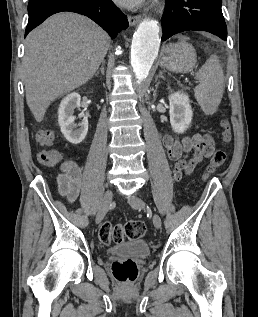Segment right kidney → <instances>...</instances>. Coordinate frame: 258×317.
Listing matches in <instances>:
<instances>
[{
    "mask_svg": "<svg viewBox=\"0 0 258 317\" xmlns=\"http://www.w3.org/2000/svg\"><path fill=\"white\" fill-rule=\"evenodd\" d=\"M80 100L81 96L79 92H71V94L64 96L58 108V122L61 132H63L65 138H67L69 142H72V144L82 142L88 130V118L86 114H80V116H83L79 124L80 128H77L74 122L76 118V116H74V108L80 106Z\"/></svg>",
    "mask_w": 258,
    "mask_h": 317,
    "instance_id": "obj_1",
    "label": "right kidney"
}]
</instances>
